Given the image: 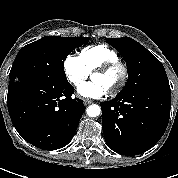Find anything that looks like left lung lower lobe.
<instances>
[{
	"instance_id": "left-lung-lower-lobe-1",
	"label": "left lung lower lobe",
	"mask_w": 178,
	"mask_h": 178,
	"mask_svg": "<svg viewBox=\"0 0 178 178\" xmlns=\"http://www.w3.org/2000/svg\"><path fill=\"white\" fill-rule=\"evenodd\" d=\"M170 105L171 91L152 88L119 93L113 100L101 103L107 145L126 156L146 152L164 134Z\"/></svg>"
}]
</instances>
